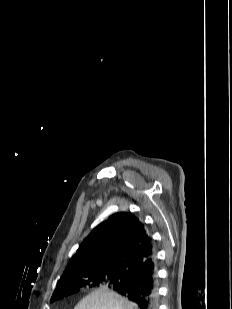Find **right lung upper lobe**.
I'll use <instances>...</instances> for the list:
<instances>
[{"label": "right lung upper lobe", "instance_id": "obj_1", "mask_svg": "<svg viewBox=\"0 0 232 309\" xmlns=\"http://www.w3.org/2000/svg\"><path fill=\"white\" fill-rule=\"evenodd\" d=\"M153 255L152 239L139 218L130 212L115 213L83 240L58 283L86 271L125 272Z\"/></svg>", "mask_w": 232, "mask_h": 309}]
</instances>
